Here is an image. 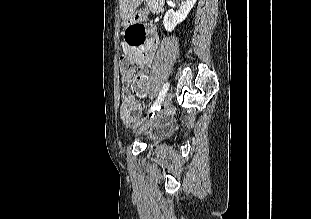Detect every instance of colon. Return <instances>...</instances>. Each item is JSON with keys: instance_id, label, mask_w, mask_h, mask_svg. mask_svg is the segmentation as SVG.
<instances>
[{"instance_id": "1", "label": "colon", "mask_w": 311, "mask_h": 219, "mask_svg": "<svg viewBox=\"0 0 311 219\" xmlns=\"http://www.w3.org/2000/svg\"><path fill=\"white\" fill-rule=\"evenodd\" d=\"M145 29L141 25L130 26L126 31V41L130 43H136L140 41ZM137 64L135 61L126 55H122L119 59V68L123 76L129 75L135 71ZM147 81L145 78L139 76L132 83V89L134 93L138 95H144L146 93Z\"/></svg>"}]
</instances>
